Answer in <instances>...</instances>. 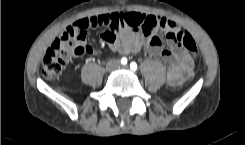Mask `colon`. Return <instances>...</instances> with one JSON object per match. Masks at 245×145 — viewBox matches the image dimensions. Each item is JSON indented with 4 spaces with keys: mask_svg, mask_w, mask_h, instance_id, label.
I'll list each match as a JSON object with an SVG mask.
<instances>
[{
    "mask_svg": "<svg viewBox=\"0 0 245 145\" xmlns=\"http://www.w3.org/2000/svg\"><path fill=\"white\" fill-rule=\"evenodd\" d=\"M157 20V23H155ZM163 18H149L151 23L147 27H143L140 31L144 33L158 31L162 28L160 25ZM81 21V20H79ZM79 21L68 25L64 33L57 38L47 50L42 61V74L45 78H55L59 76L69 58L73 56H81L87 53V47L81 44L88 27L103 26L105 19L103 16H94L84 19V26L79 25ZM177 40L189 51L196 52L197 44L191 35L184 30H176Z\"/></svg>",
    "mask_w": 245,
    "mask_h": 145,
    "instance_id": "1",
    "label": "colon"
}]
</instances>
